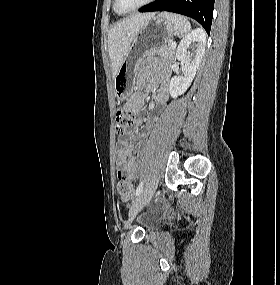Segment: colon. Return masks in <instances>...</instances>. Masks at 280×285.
Returning <instances> with one entry per match:
<instances>
[{
    "label": "colon",
    "instance_id": "1",
    "mask_svg": "<svg viewBox=\"0 0 280 285\" xmlns=\"http://www.w3.org/2000/svg\"><path fill=\"white\" fill-rule=\"evenodd\" d=\"M134 122V115L131 111L119 107L115 113V130L117 134L125 132ZM117 191L122 200H128L133 194V184L122 179L117 184Z\"/></svg>",
    "mask_w": 280,
    "mask_h": 285
}]
</instances>
